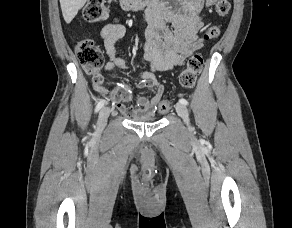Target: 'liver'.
Here are the masks:
<instances>
[{
	"label": "liver",
	"instance_id": "liver-1",
	"mask_svg": "<svg viewBox=\"0 0 292 228\" xmlns=\"http://www.w3.org/2000/svg\"><path fill=\"white\" fill-rule=\"evenodd\" d=\"M88 0H60L64 20L69 24Z\"/></svg>",
	"mask_w": 292,
	"mask_h": 228
}]
</instances>
